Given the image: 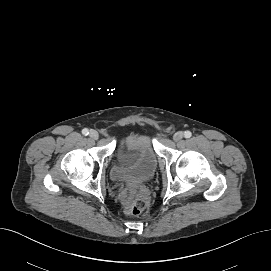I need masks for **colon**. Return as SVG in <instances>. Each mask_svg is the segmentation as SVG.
<instances>
[{"mask_svg": "<svg viewBox=\"0 0 271 271\" xmlns=\"http://www.w3.org/2000/svg\"><path fill=\"white\" fill-rule=\"evenodd\" d=\"M148 207V201L144 198H139L126 207V212L130 215H139Z\"/></svg>", "mask_w": 271, "mask_h": 271, "instance_id": "1", "label": "colon"}]
</instances>
